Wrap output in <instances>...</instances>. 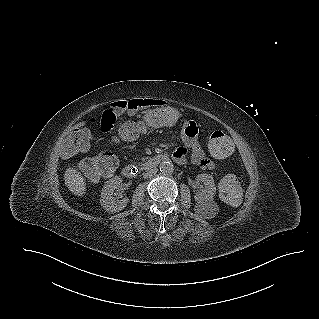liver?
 Here are the masks:
<instances>
[{
  "mask_svg": "<svg viewBox=\"0 0 319 319\" xmlns=\"http://www.w3.org/2000/svg\"><path fill=\"white\" fill-rule=\"evenodd\" d=\"M65 185L76 196H83L86 193L85 178L73 168H68L64 174Z\"/></svg>",
  "mask_w": 319,
  "mask_h": 319,
  "instance_id": "6515ba94",
  "label": "liver"
}]
</instances>
